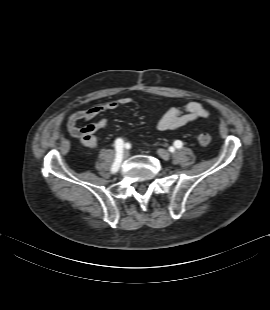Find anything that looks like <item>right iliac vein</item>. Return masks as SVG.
<instances>
[{
	"label": "right iliac vein",
	"mask_w": 270,
	"mask_h": 310,
	"mask_svg": "<svg viewBox=\"0 0 270 310\" xmlns=\"http://www.w3.org/2000/svg\"><path fill=\"white\" fill-rule=\"evenodd\" d=\"M129 156V152L127 150L123 153V158L126 159Z\"/></svg>",
	"instance_id": "right-iliac-vein-1"
}]
</instances>
